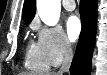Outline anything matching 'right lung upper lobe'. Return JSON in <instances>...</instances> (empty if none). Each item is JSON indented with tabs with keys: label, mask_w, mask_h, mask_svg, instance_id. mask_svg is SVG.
<instances>
[{
	"label": "right lung upper lobe",
	"mask_w": 107,
	"mask_h": 75,
	"mask_svg": "<svg viewBox=\"0 0 107 75\" xmlns=\"http://www.w3.org/2000/svg\"><path fill=\"white\" fill-rule=\"evenodd\" d=\"M36 11V1L35 0H25L23 6V19L26 23H30L34 18Z\"/></svg>",
	"instance_id": "1"
}]
</instances>
